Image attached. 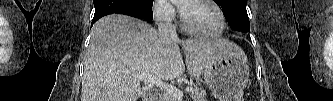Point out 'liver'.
I'll use <instances>...</instances> for the list:
<instances>
[{
    "instance_id": "liver-1",
    "label": "liver",
    "mask_w": 333,
    "mask_h": 101,
    "mask_svg": "<svg viewBox=\"0 0 333 101\" xmlns=\"http://www.w3.org/2000/svg\"><path fill=\"white\" fill-rule=\"evenodd\" d=\"M178 38L164 39L148 23L112 14L98 20L91 32L84 65L81 101H137L141 86L137 76L160 80L180 77L185 66ZM191 76H200L213 59L231 45L194 39L182 44Z\"/></svg>"
}]
</instances>
